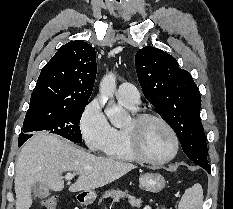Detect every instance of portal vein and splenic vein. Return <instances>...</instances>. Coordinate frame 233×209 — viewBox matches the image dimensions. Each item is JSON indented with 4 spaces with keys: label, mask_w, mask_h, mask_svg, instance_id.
Listing matches in <instances>:
<instances>
[{
    "label": "portal vein and splenic vein",
    "mask_w": 233,
    "mask_h": 209,
    "mask_svg": "<svg viewBox=\"0 0 233 209\" xmlns=\"http://www.w3.org/2000/svg\"><path fill=\"white\" fill-rule=\"evenodd\" d=\"M75 175H76V173H73V174L67 173V174L65 175V179L70 180V179H72Z\"/></svg>",
    "instance_id": "portal-vein-and-splenic-vein-1"
}]
</instances>
